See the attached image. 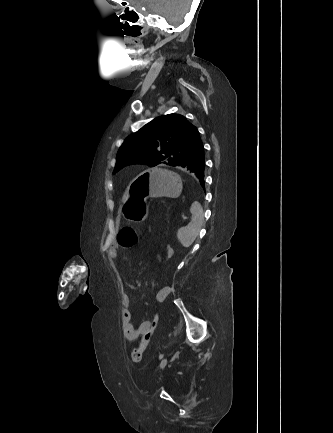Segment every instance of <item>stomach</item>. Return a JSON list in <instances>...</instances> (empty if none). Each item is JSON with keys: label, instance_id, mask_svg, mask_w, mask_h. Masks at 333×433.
<instances>
[{"label": "stomach", "instance_id": "1", "mask_svg": "<svg viewBox=\"0 0 333 433\" xmlns=\"http://www.w3.org/2000/svg\"><path fill=\"white\" fill-rule=\"evenodd\" d=\"M137 182L141 185L135 188L136 194L130 200L131 204H127L123 211V216L131 219V223L135 225L142 224L146 219L149 197L166 196L167 199L183 197L181 178L174 173L173 169H143L142 174L137 175Z\"/></svg>", "mask_w": 333, "mask_h": 433}]
</instances>
